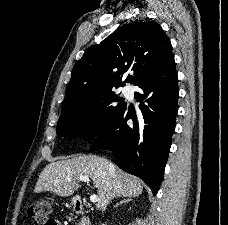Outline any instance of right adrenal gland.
I'll return each instance as SVG.
<instances>
[{
  "mask_svg": "<svg viewBox=\"0 0 228 225\" xmlns=\"http://www.w3.org/2000/svg\"><path fill=\"white\" fill-rule=\"evenodd\" d=\"M129 201H133V199H123V201H120V203H116L114 207H118V205H123V203H129Z\"/></svg>",
  "mask_w": 228,
  "mask_h": 225,
  "instance_id": "1",
  "label": "right adrenal gland"
}]
</instances>
